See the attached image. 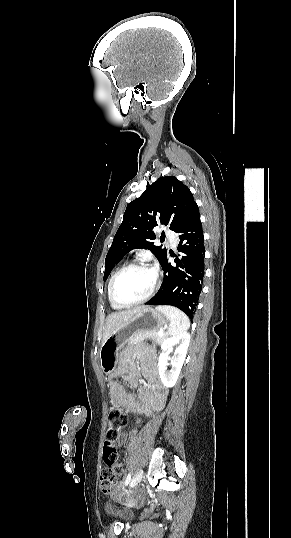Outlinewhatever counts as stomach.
<instances>
[{
	"label": "stomach",
	"mask_w": 291,
	"mask_h": 538,
	"mask_svg": "<svg viewBox=\"0 0 291 538\" xmlns=\"http://www.w3.org/2000/svg\"><path fill=\"white\" fill-rule=\"evenodd\" d=\"M167 323L164 313L146 307L136 313L124 326L115 330L100 348L101 369L109 377L111 369H117L118 351L138 333L163 329Z\"/></svg>",
	"instance_id": "1"
}]
</instances>
